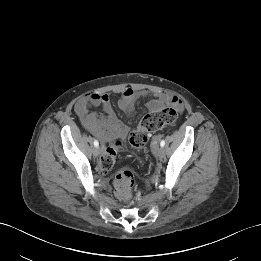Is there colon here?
<instances>
[{
    "instance_id": "1",
    "label": "colon",
    "mask_w": 261,
    "mask_h": 261,
    "mask_svg": "<svg viewBox=\"0 0 261 261\" xmlns=\"http://www.w3.org/2000/svg\"><path fill=\"white\" fill-rule=\"evenodd\" d=\"M177 117L178 113L174 108L149 111L141 119L138 127L130 133L129 143L136 149L144 148L152 132L174 124ZM120 147L121 143L116 142L106 149L100 160V168L103 172H108L113 168ZM133 186L134 176L131 171L124 169L117 173L114 188L119 198L129 200L132 195Z\"/></svg>"
}]
</instances>
